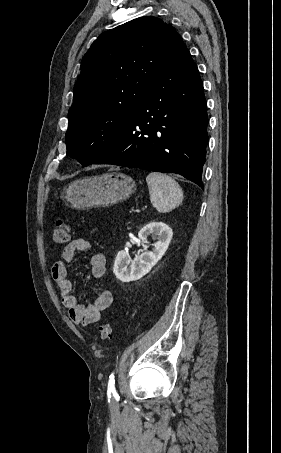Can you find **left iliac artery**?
Here are the masks:
<instances>
[{
	"instance_id": "obj_1",
	"label": "left iliac artery",
	"mask_w": 281,
	"mask_h": 453,
	"mask_svg": "<svg viewBox=\"0 0 281 453\" xmlns=\"http://www.w3.org/2000/svg\"><path fill=\"white\" fill-rule=\"evenodd\" d=\"M109 383H108V391H114L115 390V380H114V374L112 373L109 376Z\"/></svg>"
}]
</instances>
